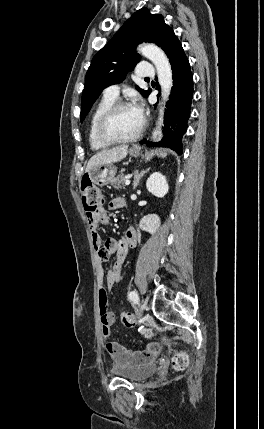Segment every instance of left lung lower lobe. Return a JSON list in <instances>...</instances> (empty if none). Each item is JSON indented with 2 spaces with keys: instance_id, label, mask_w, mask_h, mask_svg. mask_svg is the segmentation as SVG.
Returning a JSON list of instances; mask_svg holds the SVG:
<instances>
[{
  "instance_id": "left-lung-lower-lobe-1",
  "label": "left lung lower lobe",
  "mask_w": 264,
  "mask_h": 429,
  "mask_svg": "<svg viewBox=\"0 0 264 429\" xmlns=\"http://www.w3.org/2000/svg\"><path fill=\"white\" fill-rule=\"evenodd\" d=\"M161 48L171 63L174 81L165 110L164 137L158 143H150L144 139L141 144L168 147L182 154V137L187 130L193 98V76L189 61L173 30L167 33Z\"/></svg>"
}]
</instances>
